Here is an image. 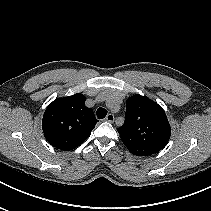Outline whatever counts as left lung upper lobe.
Listing matches in <instances>:
<instances>
[{
  "mask_svg": "<svg viewBox=\"0 0 211 211\" xmlns=\"http://www.w3.org/2000/svg\"><path fill=\"white\" fill-rule=\"evenodd\" d=\"M117 130L128 150L137 156L159 152L167 145L171 134L164 110L140 95L127 100L125 122Z\"/></svg>",
  "mask_w": 211,
  "mask_h": 211,
  "instance_id": "left-lung-upper-lobe-1",
  "label": "left lung upper lobe"
}]
</instances>
